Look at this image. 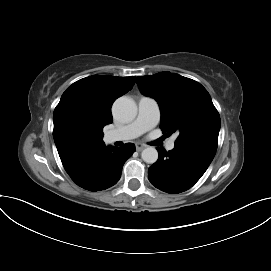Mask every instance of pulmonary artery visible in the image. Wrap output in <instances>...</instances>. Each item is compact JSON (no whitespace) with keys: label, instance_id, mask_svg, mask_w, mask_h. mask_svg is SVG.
Returning a JSON list of instances; mask_svg holds the SVG:
<instances>
[{"label":"pulmonary artery","instance_id":"obj_1","mask_svg":"<svg viewBox=\"0 0 271 271\" xmlns=\"http://www.w3.org/2000/svg\"><path fill=\"white\" fill-rule=\"evenodd\" d=\"M160 119V109L157 101L148 96H142L138 101V115L131 123L111 130L107 133V139L113 141H124L134 139L144 132L153 128ZM175 146V137L171 138L166 149L172 150Z\"/></svg>","mask_w":271,"mask_h":271}]
</instances>
